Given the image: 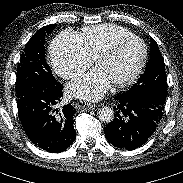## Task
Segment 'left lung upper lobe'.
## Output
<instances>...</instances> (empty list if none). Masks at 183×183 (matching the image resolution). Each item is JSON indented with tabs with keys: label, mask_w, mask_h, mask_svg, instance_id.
I'll return each mask as SVG.
<instances>
[{
	"label": "left lung upper lobe",
	"mask_w": 183,
	"mask_h": 183,
	"mask_svg": "<svg viewBox=\"0 0 183 183\" xmlns=\"http://www.w3.org/2000/svg\"><path fill=\"white\" fill-rule=\"evenodd\" d=\"M150 59L144 74L126 93L164 106L167 96L165 64L154 39H150Z\"/></svg>",
	"instance_id": "obj_1"
}]
</instances>
